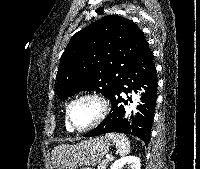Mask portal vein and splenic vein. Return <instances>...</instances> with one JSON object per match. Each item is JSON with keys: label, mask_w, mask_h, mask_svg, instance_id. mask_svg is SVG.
I'll list each match as a JSON object with an SVG mask.
<instances>
[{"label": "portal vein and splenic vein", "mask_w": 200, "mask_h": 169, "mask_svg": "<svg viewBox=\"0 0 200 169\" xmlns=\"http://www.w3.org/2000/svg\"><path fill=\"white\" fill-rule=\"evenodd\" d=\"M106 159H112V157L108 155V156H106Z\"/></svg>", "instance_id": "18ae733b"}]
</instances>
